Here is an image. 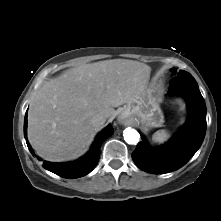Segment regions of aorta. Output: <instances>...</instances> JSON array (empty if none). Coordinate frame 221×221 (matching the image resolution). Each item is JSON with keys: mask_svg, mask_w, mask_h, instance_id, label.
<instances>
[{"mask_svg": "<svg viewBox=\"0 0 221 221\" xmlns=\"http://www.w3.org/2000/svg\"><path fill=\"white\" fill-rule=\"evenodd\" d=\"M124 140L128 144L135 145L139 142L140 134L133 128L128 127L123 131Z\"/></svg>", "mask_w": 221, "mask_h": 221, "instance_id": "1", "label": "aorta"}]
</instances>
